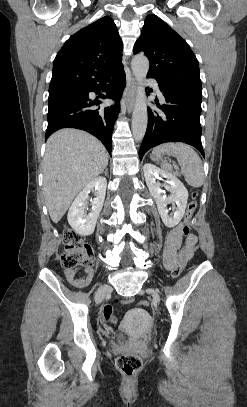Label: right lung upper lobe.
<instances>
[{
  "label": "right lung upper lobe",
  "instance_id": "cb5924a9",
  "mask_svg": "<svg viewBox=\"0 0 247 407\" xmlns=\"http://www.w3.org/2000/svg\"><path fill=\"white\" fill-rule=\"evenodd\" d=\"M123 43L112 18L105 16L72 35L57 53L49 90L84 87L122 67Z\"/></svg>",
  "mask_w": 247,
  "mask_h": 407
}]
</instances>
